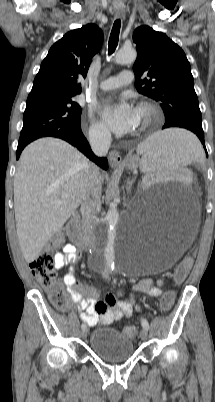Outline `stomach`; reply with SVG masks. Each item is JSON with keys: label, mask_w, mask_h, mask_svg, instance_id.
<instances>
[{"label": "stomach", "mask_w": 215, "mask_h": 402, "mask_svg": "<svg viewBox=\"0 0 215 402\" xmlns=\"http://www.w3.org/2000/svg\"><path fill=\"white\" fill-rule=\"evenodd\" d=\"M138 166V160L134 158H130L127 162V167L130 170H134Z\"/></svg>", "instance_id": "stomach-1"}]
</instances>
